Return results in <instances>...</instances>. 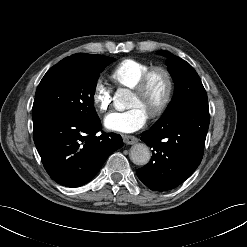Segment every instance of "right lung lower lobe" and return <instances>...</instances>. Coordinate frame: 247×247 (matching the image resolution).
<instances>
[{
    "instance_id": "1",
    "label": "right lung lower lobe",
    "mask_w": 247,
    "mask_h": 247,
    "mask_svg": "<svg viewBox=\"0 0 247 247\" xmlns=\"http://www.w3.org/2000/svg\"><path fill=\"white\" fill-rule=\"evenodd\" d=\"M34 142L50 177L63 186L78 187L91 180L109 155L123 145L120 135L101 131L100 119L75 114L33 121Z\"/></svg>"
}]
</instances>
